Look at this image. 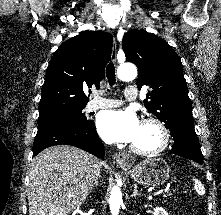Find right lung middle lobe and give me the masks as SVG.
<instances>
[{
  "label": "right lung middle lobe",
  "instance_id": "dd1d6c3e",
  "mask_svg": "<svg viewBox=\"0 0 221 215\" xmlns=\"http://www.w3.org/2000/svg\"><path fill=\"white\" fill-rule=\"evenodd\" d=\"M84 108L85 107L63 113L39 116L38 129L56 124L86 123L89 120H87L85 114L83 113Z\"/></svg>",
  "mask_w": 221,
  "mask_h": 215
}]
</instances>
